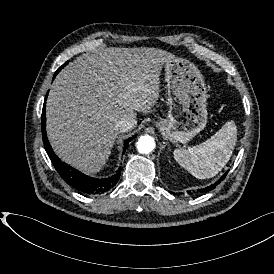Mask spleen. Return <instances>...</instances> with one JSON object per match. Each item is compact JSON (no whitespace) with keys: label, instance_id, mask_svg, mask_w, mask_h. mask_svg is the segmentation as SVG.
Instances as JSON below:
<instances>
[{"label":"spleen","instance_id":"spleen-1","mask_svg":"<svg viewBox=\"0 0 274 274\" xmlns=\"http://www.w3.org/2000/svg\"><path fill=\"white\" fill-rule=\"evenodd\" d=\"M236 142V127L226 123L209 140L187 150L175 149L176 162L194 177L205 179L215 176L229 160Z\"/></svg>","mask_w":274,"mask_h":274}]
</instances>
